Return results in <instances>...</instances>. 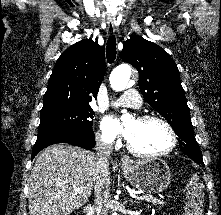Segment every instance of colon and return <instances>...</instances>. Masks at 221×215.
Returning a JSON list of instances; mask_svg holds the SVG:
<instances>
[{"label":"colon","mask_w":221,"mask_h":215,"mask_svg":"<svg viewBox=\"0 0 221 215\" xmlns=\"http://www.w3.org/2000/svg\"><path fill=\"white\" fill-rule=\"evenodd\" d=\"M203 190L198 177L193 175L187 184V195L184 213L182 215H202Z\"/></svg>","instance_id":"5ec220e1"}]
</instances>
